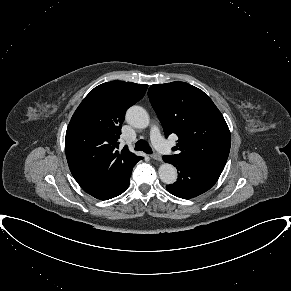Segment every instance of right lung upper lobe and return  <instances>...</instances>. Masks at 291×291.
I'll return each mask as SVG.
<instances>
[{
  "label": "right lung upper lobe",
  "instance_id": "right-lung-upper-lobe-1",
  "mask_svg": "<svg viewBox=\"0 0 291 291\" xmlns=\"http://www.w3.org/2000/svg\"><path fill=\"white\" fill-rule=\"evenodd\" d=\"M147 85L111 81L95 87L73 114L65 137L70 171L81 188L100 200L117 196L142 159L118 138L126 110L139 101Z\"/></svg>",
  "mask_w": 291,
  "mask_h": 291
}]
</instances>
